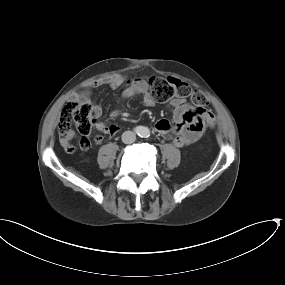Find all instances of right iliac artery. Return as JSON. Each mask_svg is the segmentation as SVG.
Returning a JSON list of instances; mask_svg holds the SVG:
<instances>
[{"instance_id":"obj_1","label":"right iliac artery","mask_w":285,"mask_h":285,"mask_svg":"<svg viewBox=\"0 0 285 285\" xmlns=\"http://www.w3.org/2000/svg\"><path fill=\"white\" fill-rule=\"evenodd\" d=\"M136 131H140V129H139V128H136Z\"/></svg>"}]
</instances>
